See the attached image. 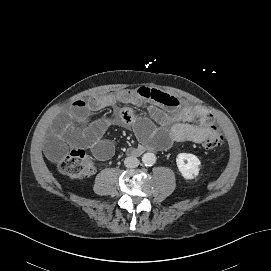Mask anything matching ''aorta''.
Wrapping results in <instances>:
<instances>
[{
  "label": "aorta",
  "mask_w": 271,
  "mask_h": 271,
  "mask_svg": "<svg viewBox=\"0 0 271 271\" xmlns=\"http://www.w3.org/2000/svg\"><path fill=\"white\" fill-rule=\"evenodd\" d=\"M156 161V156L154 153H145L142 156V163L145 166H152Z\"/></svg>",
  "instance_id": "aorta-1"
}]
</instances>
